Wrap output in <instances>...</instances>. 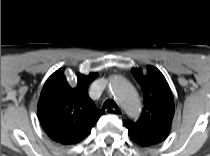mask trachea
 Here are the masks:
<instances>
[{
    "label": "trachea",
    "mask_w": 210,
    "mask_h": 156,
    "mask_svg": "<svg viewBox=\"0 0 210 156\" xmlns=\"http://www.w3.org/2000/svg\"><path fill=\"white\" fill-rule=\"evenodd\" d=\"M103 108L106 109V108H118V105L111 99H108L104 102L103 104Z\"/></svg>",
    "instance_id": "trachea-1"
}]
</instances>
